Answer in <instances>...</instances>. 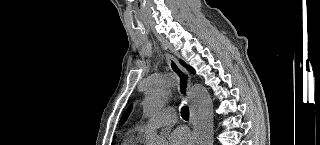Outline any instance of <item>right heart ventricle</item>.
Here are the masks:
<instances>
[{
  "label": "right heart ventricle",
  "mask_w": 320,
  "mask_h": 145,
  "mask_svg": "<svg viewBox=\"0 0 320 145\" xmlns=\"http://www.w3.org/2000/svg\"><path fill=\"white\" fill-rule=\"evenodd\" d=\"M141 138V133H137L135 136H129L123 145H138V142Z\"/></svg>",
  "instance_id": "obj_1"
}]
</instances>
